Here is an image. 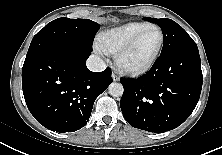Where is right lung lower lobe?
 Instances as JSON below:
<instances>
[{
    "mask_svg": "<svg viewBox=\"0 0 222 155\" xmlns=\"http://www.w3.org/2000/svg\"><path fill=\"white\" fill-rule=\"evenodd\" d=\"M92 48L57 47L25 60L22 88L35 119L55 132H73L89 121L95 99L112 83L111 70L91 72Z\"/></svg>",
    "mask_w": 222,
    "mask_h": 155,
    "instance_id": "98d812e1",
    "label": "right lung lower lobe"
}]
</instances>
